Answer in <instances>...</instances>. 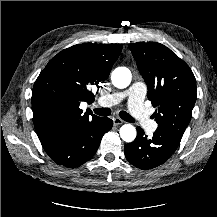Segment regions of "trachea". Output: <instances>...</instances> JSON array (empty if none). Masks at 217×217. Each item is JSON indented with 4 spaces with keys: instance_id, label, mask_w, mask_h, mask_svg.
<instances>
[{
    "instance_id": "3493384b",
    "label": "trachea",
    "mask_w": 217,
    "mask_h": 217,
    "mask_svg": "<svg viewBox=\"0 0 217 217\" xmlns=\"http://www.w3.org/2000/svg\"><path fill=\"white\" fill-rule=\"evenodd\" d=\"M95 114L99 115V116H109L111 114V109L110 108H96L94 109ZM120 117L130 123H134L135 119L133 117H131L127 112L125 111H121L119 113Z\"/></svg>"
}]
</instances>
